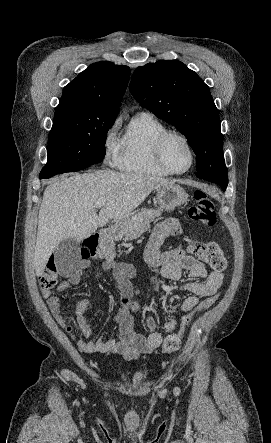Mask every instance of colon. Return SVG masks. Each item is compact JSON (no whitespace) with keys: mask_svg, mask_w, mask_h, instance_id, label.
Instances as JSON below:
<instances>
[{"mask_svg":"<svg viewBox=\"0 0 271 443\" xmlns=\"http://www.w3.org/2000/svg\"><path fill=\"white\" fill-rule=\"evenodd\" d=\"M195 204L189 209V217L198 221L206 227H212L216 223L214 203L211 197L202 190L194 193ZM198 256L208 264L214 271L225 270L227 260L221 246L216 242H209L199 246L191 247ZM82 256L85 259H112L115 257L113 246L104 239L97 236L91 237L82 249ZM58 271L54 259H50L47 267L39 276V286L42 290H51L57 283ZM218 300V295L207 297L198 303L188 314L184 315L177 332L168 335L162 345L163 353L177 351L194 315L210 308Z\"/></svg>","mask_w":271,"mask_h":443,"instance_id":"5ec220e1","label":"colon"}]
</instances>
